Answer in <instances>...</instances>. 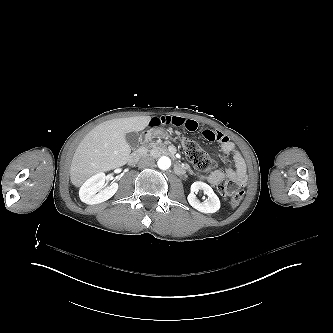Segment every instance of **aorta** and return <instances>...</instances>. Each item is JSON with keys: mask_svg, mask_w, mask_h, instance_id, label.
<instances>
[{"mask_svg": "<svg viewBox=\"0 0 333 333\" xmlns=\"http://www.w3.org/2000/svg\"><path fill=\"white\" fill-rule=\"evenodd\" d=\"M171 165V160L169 157L166 156H162L159 160H158V167L162 170H166L170 167Z\"/></svg>", "mask_w": 333, "mask_h": 333, "instance_id": "aorta-1", "label": "aorta"}]
</instances>
